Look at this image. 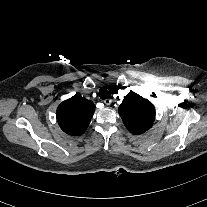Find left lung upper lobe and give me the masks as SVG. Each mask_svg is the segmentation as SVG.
I'll return each mask as SVG.
<instances>
[{
	"label": "left lung upper lobe",
	"mask_w": 207,
	"mask_h": 207,
	"mask_svg": "<svg viewBox=\"0 0 207 207\" xmlns=\"http://www.w3.org/2000/svg\"><path fill=\"white\" fill-rule=\"evenodd\" d=\"M118 112L126 128L136 135L150 129L155 120L154 106L134 92L124 97Z\"/></svg>",
	"instance_id": "obj_1"
}]
</instances>
